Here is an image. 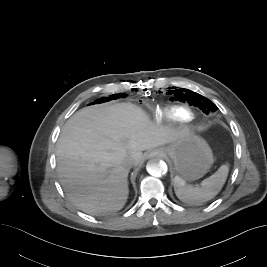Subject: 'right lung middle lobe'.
<instances>
[{"mask_svg": "<svg viewBox=\"0 0 267 267\" xmlns=\"http://www.w3.org/2000/svg\"><path fill=\"white\" fill-rule=\"evenodd\" d=\"M120 97H124L123 94H118L114 97H102L100 100H96L95 103H101V102H105V101H109V100H112V99H117V98H120Z\"/></svg>", "mask_w": 267, "mask_h": 267, "instance_id": "1", "label": "right lung middle lobe"}]
</instances>
